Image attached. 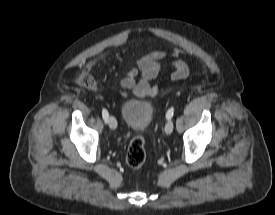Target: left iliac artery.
Segmentation results:
<instances>
[{
    "mask_svg": "<svg viewBox=\"0 0 275 215\" xmlns=\"http://www.w3.org/2000/svg\"><path fill=\"white\" fill-rule=\"evenodd\" d=\"M173 113H174V109H173V108H170V109L167 111V113H166V118H167L168 120H170V119L172 118V116H173Z\"/></svg>",
    "mask_w": 275,
    "mask_h": 215,
    "instance_id": "obj_1",
    "label": "left iliac artery"
}]
</instances>
